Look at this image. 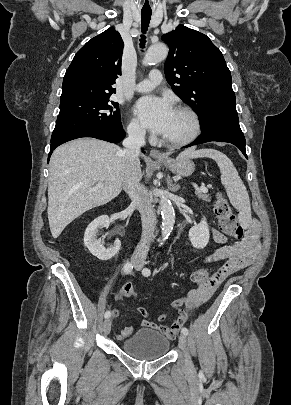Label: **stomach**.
<instances>
[{"label":"stomach","mask_w":291,"mask_h":405,"mask_svg":"<svg viewBox=\"0 0 291 405\" xmlns=\"http://www.w3.org/2000/svg\"><path fill=\"white\" fill-rule=\"evenodd\" d=\"M159 163L163 164L168 170L173 172L174 174L180 176H190L194 170L195 165L189 159H171L166 158L163 160H159Z\"/></svg>","instance_id":"stomach-1"}]
</instances>
